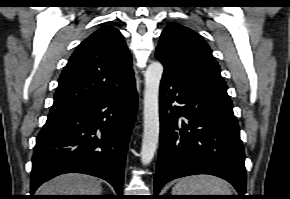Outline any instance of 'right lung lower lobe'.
<instances>
[{
  "mask_svg": "<svg viewBox=\"0 0 290 199\" xmlns=\"http://www.w3.org/2000/svg\"><path fill=\"white\" fill-rule=\"evenodd\" d=\"M137 101L133 81L123 92L51 111L34 148L31 195L51 178L76 172L108 181L121 197Z\"/></svg>",
  "mask_w": 290,
  "mask_h": 199,
  "instance_id": "obj_1",
  "label": "right lung lower lobe"
}]
</instances>
